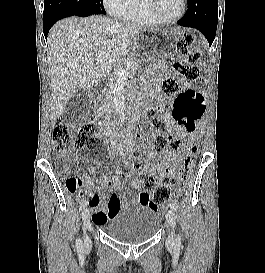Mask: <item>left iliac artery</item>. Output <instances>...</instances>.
Masks as SVG:
<instances>
[{
  "mask_svg": "<svg viewBox=\"0 0 265 273\" xmlns=\"http://www.w3.org/2000/svg\"><path fill=\"white\" fill-rule=\"evenodd\" d=\"M169 206H170V208L172 209V210H174V211H177V209H178V206L176 205V203H174V202H171L170 204H169ZM175 247L176 248H180L181 247V237L178 235L177 236V238H176V240H175Z\"/></svg>",
  "mask_w": 265,
  "mask_h": 273,
  "instance_id": "left-iliac-artery-1",
  "label": "left iliac artery"
}]
</instances>
